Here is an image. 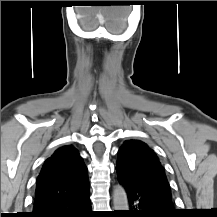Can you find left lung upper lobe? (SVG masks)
<instances>
[{"label":"left lung upper lobe","instance_id":"left-lung-upper-lobe-1","mask_svg":"<svg viewBox=\"0 0 217 217\" xmlns=\"http://www.w3.org/2000/svg\"><path fill=\"white\" fill-rule=\"evenodd\" d=\"M116 171L125 185L172 199L164 168L145 143L138 140L124 142L118 151Z\"/></svg>","mask_w":217,"mask_h":217}]
</instances>
